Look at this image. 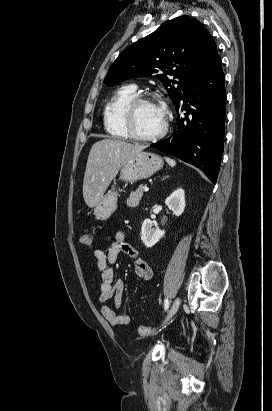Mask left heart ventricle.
Masks as SVG:
<instances>
[{"label": "left heart ventricle", "mask_w": 272, "mask_h": 411, "mask_svg": "<svg viewBox=\"0 0 272 411\" xmlns=\"http://www.w3.org/2000/svg\"><path fill=\"white\" fill-rule=\"evenodd\" d=\"M163 126V113L155 103H142L136 110L134 127L141 135H153Z\"/></svg>", "instance_id": "b2bd125f"}]
</instances>
